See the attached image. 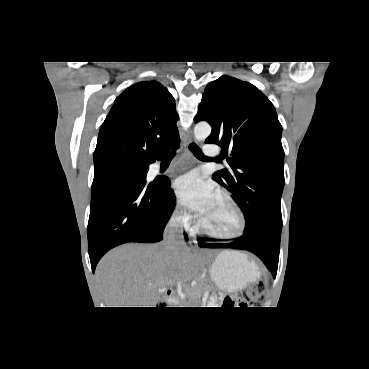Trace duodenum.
Returning <instances> with one entry per match:
<instances>
[{
    "label": "duodenum",
    "instance_id": "duodenum-1",
    "mask_svg": "<svg viewBox=\"0 0 369 369\" xmlns=\"http://www.w3.org/2000/svg\"><path fill=\"white\" fill-rule=\"evenodd\" d=\"M166 298L169 301H172L173 300V291L172 290H167L166 291Z\"/></svg>",
    "mask_w": 369,
    "mask_h": 369
}]
</instances>
